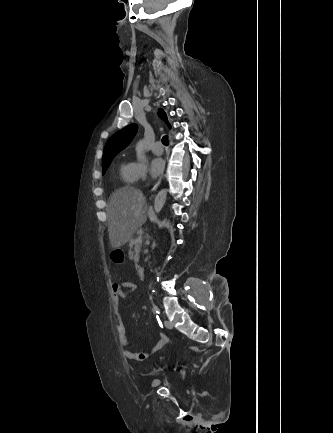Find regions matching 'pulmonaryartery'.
Wrapping results in <instances>:
<instances>
[{"label": "pulmonary artery", "instance_id": "obj_1", "mask_svg": "<svg viewBox=\"0 0 333 433\" xmlns=\"http://www.w3.org/2000/svg\"><path fill=\"white\" fill-rule=\"evenodd\" d=\"M163 150H164L163 145L160 142L155 143V145L152 148V152L158 156L162 155Z\"/></svg>", "mask_w": 333, "mask_h": 433}]
</instances>
